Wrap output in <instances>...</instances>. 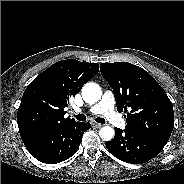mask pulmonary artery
Segmentation results:
<instances>
[{"instance_id":"1","label":"pulmonary artery","mask_w":184,"mask_h":184,"mask_svg":"<svg viewBox=\"0 0 184 184\" xmlns=\"http://www.w3.org/2000/svg\"><path fill=\"white\" fill-rule=\"evenodd\" d=\"M81 110L77 109L79 113ZM89 111L93 114L103 115L112 125L124 128L126 126L125 120L115 110V98L111 91H106L101 100L93 105Z\"/></svg>"}]
</instances>
